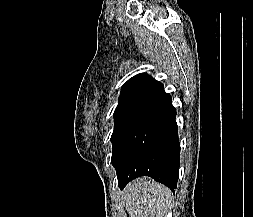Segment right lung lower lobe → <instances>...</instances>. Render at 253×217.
Wrapping results in <instances>:
<instances>
[{
	"mask_svg": "<svg viewBox=\"0 0 253 217\" xmlns=\"http://www.w3.org/2000/svg\"><path fill=\"white\" fill-rule=\"evenodd\" d=\"M175 117L171 96L164 93L127 130L111 160L121 189L131 180L146 175L174 192L180 165Z\"/></svg>",
	"mask_w": 253,
	"mask_h": 217,
	"instance_id": "98d812e1",
	"label": "right lung lower lobe"
}]
</instances>
